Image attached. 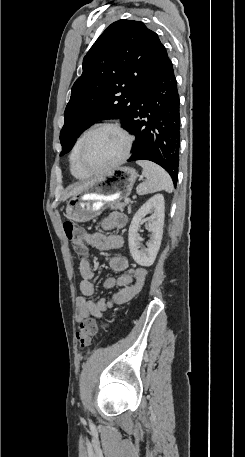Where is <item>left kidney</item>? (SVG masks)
<instances>
[{
	"mask_svg": "<svg viewBox=\"0 0 245 457\" xmlns=\"http://www.w3.org/2000/svg\"><path fill=\"white\" fill-rule=\"evenodd\" d=\"M164 208L163 194H154L145 204H142V206L138 208L131 220L128 233V245L131 257H133L135 263L141 265V267H151L157 257L163 235ZM148 212H152V214L151 216H148V218H145ZM143 220H149L147 226L149 231H151L150 241L149 243H146L147 249H140V241H144V239H141L137 233V231H139L140 222H143Z\"/></svg>",
	"mask_w": 245,
	"mask_h": 457,
	"instance_id": "obj_1",
	"label": "left kidney"
}]
</instances>
